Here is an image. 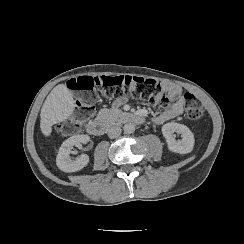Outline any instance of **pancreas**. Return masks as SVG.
Wrapping results in <instances>:
<instances>
[{
    "label": "pancreas",
    "mask_w": 244,
    "mask_h": 244,
    "mask_svg": "<svg viewBox=\"0 0 244 244\" xmlns=\"http://www.w3.org/2000/svg\"><path fill=\"white\" fill-rule=\"evenodd\" d=\"M127 113L122 112L118 109H101L97 115L98 119L110 120V121H120L124 115Z\"/></svg>",
    "instance_id": "pancreas-1"
}]
</instances>
